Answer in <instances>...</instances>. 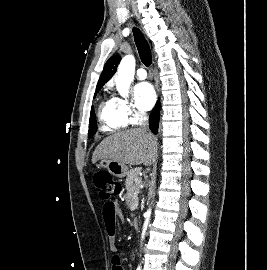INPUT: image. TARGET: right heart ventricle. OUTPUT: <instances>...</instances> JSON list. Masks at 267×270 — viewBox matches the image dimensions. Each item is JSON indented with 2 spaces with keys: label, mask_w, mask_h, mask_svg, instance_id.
I'll list each match as a JSON object with an SVG mask.
<instances>
[{
  "label": "right heart ventricle",
  "mask_w": 267,
  "mask_h": 270,
  "mask_svg": "<svg viewBox=\"0 0 267 270\" xmlns=\"http://www.w3.org/2000/svg\"><path fill=\"white\" fill-rule=\"evenodd\" d=\"M98 118L101 131L110 133L121 130L127 123L119 116L112 100H104L99 105Z\"/></svg>",
  "instance_id": "right-heart-ventricle-1"
}]
</instances>
